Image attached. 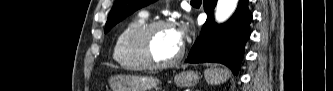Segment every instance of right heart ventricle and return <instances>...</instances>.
I'll return each instance as SVG.
<instances>
[{"mask_svg": "<svg viewBox=\"0 0 333 91\" xmlns=\"http://www.w3.org/2000/svg\"><path fill=\"white\" fill-rule=\"evenodd\" d=\"M147 22V17L139 14L130 20L118 32L112 51L113 60L123 69L140 71L145 67L138 62L131 52L130 40L135 30Z\"/></svg>", "mask_w": 333, "mask_h": 91, "instance_id": "e07e8e85", "label": "right heart ventricle"}]
</instances>
